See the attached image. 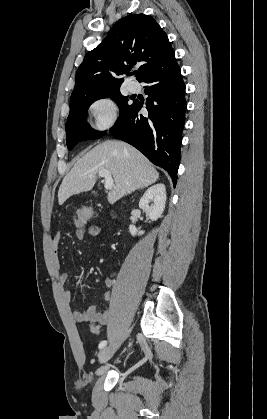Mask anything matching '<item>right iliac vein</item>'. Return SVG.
Instances as JSON below:
<instances>
[{
    "mask_svg": "<svg viewBox=\"0 0 267 419\" xmlns=\"http://www.w3.org/2000/svg\"><path fill=\"white\" fill-rule=\"evenodd\" d=\"M117 347H118L117 344H113V345H109L107 347H104L99 353V362L100 363L107 362L113 356Z\"/></svg>",
    "mask_w": 267,
    "mask_h": 419,
    "instance_id": "63e3f726",
    "label": "right iliac vein"
}]
</instances>
